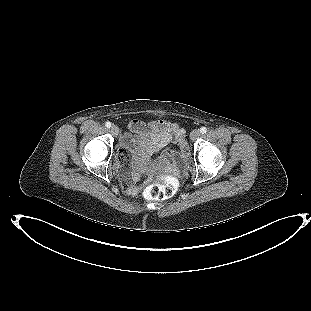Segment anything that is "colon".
I'll return each instance as SVG.
<instances>
[{
	"label": "colon",
	"instance_id": "5ec220e1",
	"mask_svg": "<svg viewBox=\"0 0 311 311\" xmlns=\"http://www.w3.org/2000/svg\"><path fill=\"white\" fill-rule=\"evenodd\" d=\"M129 155V152L122 150L120 153V159H127L129 158ZM121 180L124 184L126 183L122 174ZM177 189V184L174 179L158 175L157 182L145 188L144 196L149 200H163L172 197L177 192Z\"/></svg>",
	"mask_w": 311,
	"mask_h": 311
}]
</instances>
